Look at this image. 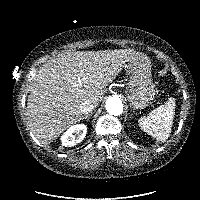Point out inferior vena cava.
I'll use <instances>...</instances> for the list:
<instances>
[{"instance_id":"obj_1","label":"inferior vena cava","mask_w":200,"mask_h":200,"mask_svg":"<svg viewBox=\"0 0 200 200\" xmlns=\"http://www.w3.org/2000/svg\"><path fill=\"white\" fill-rule=\"evenodd\" d=\"M94 107H96V106H95V104H94L93 101L86 100L81 105V113L82 114H88V113L92 112V110L94 109Z\"/></svg>"}]
</instances>
